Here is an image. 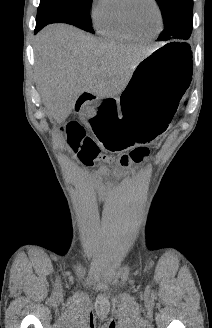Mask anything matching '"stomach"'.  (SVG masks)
<instances>
[{"label":"stomach","mask_w":212,"mask_h":328,"mask_svg":"<svg viewBox=\"0 0 212 328\" xmlns=\"http://www.w3.org/2000/svg\"><path fill=\"white\" fill-rule=\"evenodd\" d=\"M190 74L186 49L162 45L136 65L117 102L91 103L87 109L92 117L85 114L82 123L89 124L99 145L111 151L152 141L169 128Z\"/></svg>","instance_id":"1"}]
</instances>
